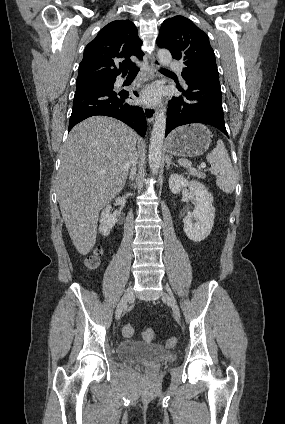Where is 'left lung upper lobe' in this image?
<instances>
[{"instance_id":"5c2ea615","label":"left lung upper lobe","mask_w":285,"mask_h":424,"mask_svg":"<svg viewBox=\"0 0 285 424\" xmlns=\"http://www.w3.org/2000/svg\"><path fill=\"white\" fill-rule=\"evenodd\" d=\"M157 45L168 49L173 58L184 61V80L200 73L219 75L208 36L183 16H175L163 22Z\"/></svg>"}]
</instances>
